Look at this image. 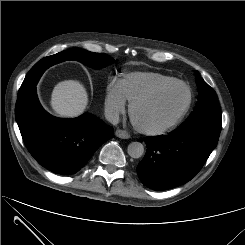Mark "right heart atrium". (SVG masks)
I'll use <instances>...</instances> for the list:
<instances>
[{"label":"right heart atrium","mask_w":245,"mask_h":245,"mask_svg":"<svg viewBox=\"0 0 245 245\" xmlns=\"http://www.w3.org/2000/svg\"><path fill=\"white\" fill-rule=\"evenodd\" d=\"M126 109L127 102L121 92L119 81H110L104 91V110L107 118L117 121Z\"/></svg>","instance_id":"1"}]
</instances>
